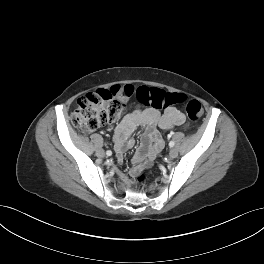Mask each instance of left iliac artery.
<instances>
[{
    "label": "left iliac artery",
    "instance_id": "44dca946",
    "mask_svg": "<svg viewBox=\"0 0 264 264\" xmlns=\"http://www.w3.org/2000/svg\"><path fill=\"white\" fill-rule=\"evenodd\" d=\"M168 136L171 137V134H169ZM174 145H175L174 141H170V142H169V146H170V147H173Z\"/></svg>",
    "mask_w": 264,
    "mask_h": 264
}]
</instances>
